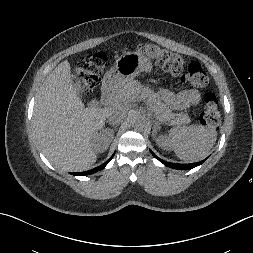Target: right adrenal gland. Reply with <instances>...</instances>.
<instances>
[{"label": "right adrenal gland", "mask_w": 253, "mask_h": 253, "mask_svg": "<svg viewBox=\"0 0 253 253\" xmlns=\"http://www.w3.org/2000/svg\"><path fill=\"white\" fill-rule=\"evenodd\" d=\"M116 128H117V125H114V129L116 130Z\"/></svg>", "instance_id": "2a0ac1e0"}]
</instances>
